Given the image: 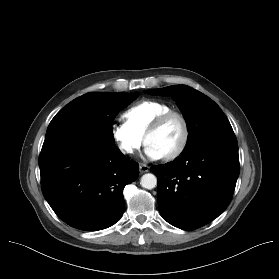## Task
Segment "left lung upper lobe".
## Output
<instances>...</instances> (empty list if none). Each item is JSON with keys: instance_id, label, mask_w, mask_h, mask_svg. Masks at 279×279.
Masks as SVG:
<instances>
[{"instance_id": "left-lung-upper-lobe-1", "label": "left lung upper lobe", "mask_w": 279, "mask_h": 279, "mask_svg": "<svg viewBox=\"0 0 279 279\" xmlns=\"http://www.w3.org/2000/svg\"><path fill=\"white\" fill-rule=\"evenodd\" d=\"M145 92L159 96L171 95L176 100L189 131L184 150L206 139L235 136L230 122L220 107L212 99L189 86L174 85Z\"/></svg>"}]
</instances>
